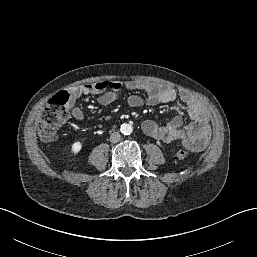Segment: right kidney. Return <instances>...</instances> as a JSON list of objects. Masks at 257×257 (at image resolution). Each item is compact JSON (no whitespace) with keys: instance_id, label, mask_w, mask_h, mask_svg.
I'll list each match as a JSON object with an SVG mask.
<instances>
[{"instance_id":"1","label":"right kidney","mask_w":257,"mask_h":257,"mask_svg":"<svg viewBox=\"0 0 257 257\" xmlns=\"http://www.w3.org/2000/svg\"><path fill=\"white\" fill-rule=\"evenodd\" d=\"M82 143L80 141H76L72 144L71 146V152L74 154V155H77L81 149H82Z\"/></svg>"}]
</instances>
